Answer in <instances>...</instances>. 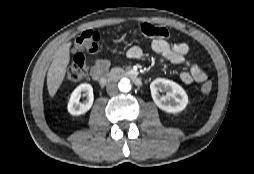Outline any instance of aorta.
Segmentation results:
<instances>
[{
  "instance_id": "762f6f07",
  "label": "aorta",
  "mask_w": 254,
  "mask_h": 174,
  "mask_svg": "<svg viewBox=\"0 0 254 174\" xmlns=\"http://www.w3.org/2000/svg\"><path fill=\"white\" fill-rule=\"evenodd\" d=\"M118 88L121 92L127 93L131 90V83L130 80L127 78H123L118 83Z\"/></svg>"
}]
</instances>
